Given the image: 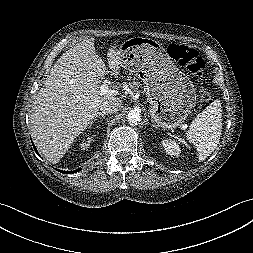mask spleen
<instances>
[{"instance_id": "3e777b00", "label": "spleen", "mask_w": 253, "mask_h": 253, "mask_svg": "<svg viewBox=\"0 0 253 253\" xmlns=\"http://www.w3.org/2000/svg\"><path fill=\"white\" fill-rule=\"evenodd\" d=\"M222 132L220 100H214L192 121L186 138L196 146L198 160L204 161L217 147Z\"/></svg>"}]
</instances>
